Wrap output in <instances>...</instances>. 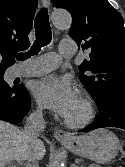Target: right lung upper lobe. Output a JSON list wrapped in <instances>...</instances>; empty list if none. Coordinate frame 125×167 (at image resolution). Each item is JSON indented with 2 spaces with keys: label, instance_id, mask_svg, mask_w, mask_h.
Listing matches in <instances>:
<instances>
[{
  "label": "right lung upper lobe",
  "instance_id": "obj_1",
  "mask_svg": "<svg viewBox=\"0 0 125 167\" xmlns=\"http://www.w3.org/2000/svg\"><path fill=\"white\" fill-rule=\"evenodd\" d=\"M37 0H0V72L15 63L14 54L29 47Z\"/></svg>",
  "mask_w": 125,
  "mask_h": 167
}]
</instances>
